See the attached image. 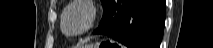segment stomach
Segmentation results:
<instances>
[{
  "mask_svg": "<svg viewBox=\"0 0 213 48\" xmlns=\"http://www.w3.org/2000/svg\"><path fill=\"white\" fill-rule=\"evenodd\" d=\"M101 45V43H96L94 45H86L85 48H100Z\"/></svg>",
  "mask_w": 213,
  "mask_h": 48,
  "instance_id": "0dacf381",
  "label": "stomach"
}]
</instances>
